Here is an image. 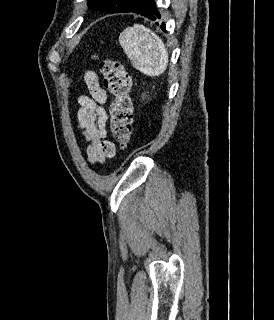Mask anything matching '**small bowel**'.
Here are the masks:
<instances>
[{
	"mask_svg": "<svg viewBox=\"0 0 274 320\" xmlns=\"http://www.w3.org/2000/svg\"><path fill=\"white\" fill-rule=\"evenodd\" d=\"M84 82L90 96H80L77 112V129L88 142L87 159L91 164L103 163L116 153L115 144L109 139L106 123L107 112L103 107L106 91L100 86L97 74L92 70L84 73Z\"/></svg>",
	"mask_w": 274,
	"mask_h": 320,
	"instance_id": "obj_1",
	"label": "small bowel"
}]
</instances>
